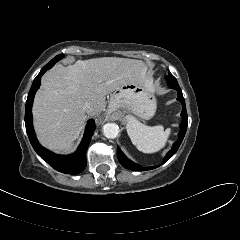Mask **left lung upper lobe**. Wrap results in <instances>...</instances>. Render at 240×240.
Masks as SVG:
<instances>
[{"mask_svg":"<svg viewBox=\"0 0 240 240\" xmlns=\"http://www.w3.org/2000/svg\"><path fill=\"white\" fill-rule=\"evenodd\" d=\"M166 78L168 79H176L170 72L168 73V75L166 76Z\"/></svg>","mask_w":240,"mask_h":240,"instance_id":"1","label":"left lung upper lobe"}]
</instances>
